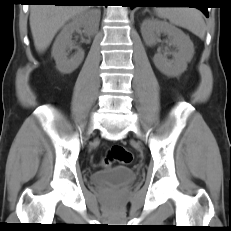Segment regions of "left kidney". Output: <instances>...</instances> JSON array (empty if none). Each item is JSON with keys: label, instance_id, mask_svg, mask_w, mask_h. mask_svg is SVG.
I'll use <instances>...</instances> for the list:
<instances>
[{"label": "left kidney", "instance_id": "1", "mask_svg": "<svg viewBox=\"0 0 231 231\" xmlns=\"http://www.w3.org/2000/svg\"><path fill=\"white\" fill-rule=\"evenodd\" d=\"M141 33L148 46L155 45L159 41V35L164 33L168 35L171 45L177 49L172 54V60L167 59L161 53L155 54L154 64L162 73L170 77H177L186 70L187 63L191 61L194 54V45L182 30L165 21L145 19L141 26Z\"/></svg>", "mask_w": 231, "mask_h": 231}]
</instances>
